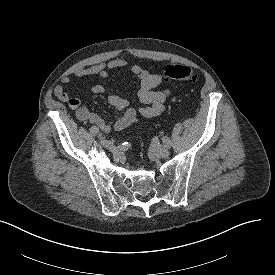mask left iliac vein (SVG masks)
<instances>
[{
  "mask_svg": "<svg viewBox=\"0 0 275 275\" xmlns=\"http://www.w3.org/2000/svg\"><path fill=\"white\" fill-rule=\"evenodd\" d=\"M151 152L160 158H166L170 154L169 150L159 143H153L151 146Z\"/></svg>",
  "mask_w": 275,
  "mask_h": 275,
  "instance_id": "4c4485c4",
  "label": "left iliac vein"
}]
</instances>
